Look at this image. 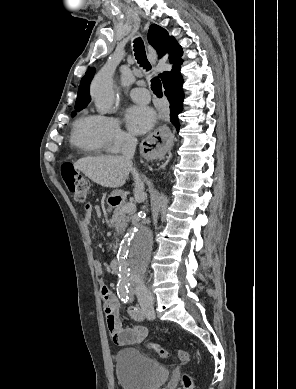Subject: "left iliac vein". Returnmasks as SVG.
<instances>
[{
	"instance_id": "left-iliac-vein-1",
	"label": "left iliac vein",
	"mask_w": 296,
	"mask_h": 389,
	"mask_svg": "<svg viewBox=\"0 0 296 389\" xmlns=\"http://www.w3.org/2000/svg\"><path fill=\"white\" fill-rule=\"evenodd\" d=\"M141 308H142L143 315L147 319L152 320L155 318V312H154V307H153L152 301H142Z\"/></svg>"
}]
</instances>
